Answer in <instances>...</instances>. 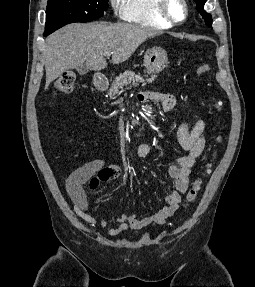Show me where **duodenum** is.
Wrapping results in <instances>:
<instances>
[{
    "label": "duodenum",
    "instance_id": "obj_1",
    "mask_svg": "<svg viewBox=\"0 0 255 287\" xmlns=\"http://www.w3.org/2000/svg\"><path fill=\"white\" fill-rule=\"evenodd\" d=\"M108 81L105 78H97L95 80V87L98 91H105L108 88ZM140 100H143L145 98L144 95L139 96ZM143 131L142 127H138L135 129L134 133L135 135L139 136Z\"/></svg>",
    "mask_w": 255,
    "mask_h": 287
}]
</instances>
